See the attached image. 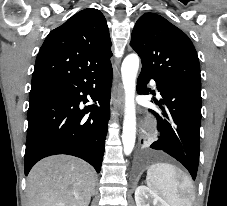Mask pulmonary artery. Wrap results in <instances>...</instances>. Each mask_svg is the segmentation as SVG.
Returning a JSON list of instances; mask_svg holds the SVG:
<instances>
[{"instance_id": "e3ab8cb5", "label": "pulmonary artery", "mask_w": 227, "mask_h": 206, "mask_svg": "<svg viewBox=\"0 0 227 206\" xmlns=\"http://www.w3.org/2000/svg\"><path fill=\"white\" fill-rule=\"evenodd\" d=\"M152 84L155 86V83L154 82H152Z\"/></svg>"}]
</instances>
